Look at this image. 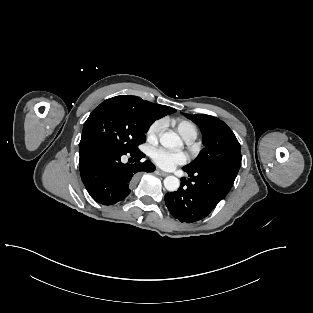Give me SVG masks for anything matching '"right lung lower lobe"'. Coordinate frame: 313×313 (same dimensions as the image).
I'll list each match as a JSON object with an SVG mask.
<instances>
[{
    "label": "right lung lower lobe",
    "instance_id": "98d812e1",
    "mask_svg": "<svg viewBox=\"0 0 313 313\" xmlns=\"http://www.w3.org/2000/svg\"><path fill=\"white\" fill-rule=\"evenodd\" d=\"M80 175L90 196L100 204L112 205L123 200L129 193L136 174L153 172L150 161L140 162L145 155L140 151L127 153L122 149L93 144L79 150ZM134 158V164H124L122 155Z\"/></svg>",
    "mask_w": 313,
    "mask_h": 313
}]
</instances>
